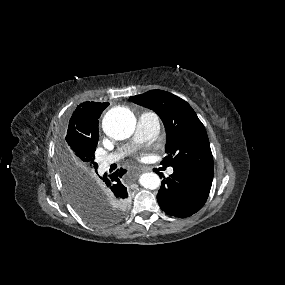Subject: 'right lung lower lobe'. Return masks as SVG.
Here are the masks:
<instances>
[{
  "label": "right lung lower lobe",
  "instance_id": "1",
  "mask_svg": "<svg viewBox=\"0 0 285 285\" xmlns=\"http://www.w3.org/2000/svg\"><path fill=\"white\" fill-rule=\"evenodd\" d=\"M125 172V169H121L108 176L107 174L99 176V180L96 181L97 185L104 192L110 193L115 200L124 205L126 204L128 193L126 187L121 183L120 179Z\"/></svg>",
  "mask_w": 285,
  "mask_h": 285
}]
</instances>
